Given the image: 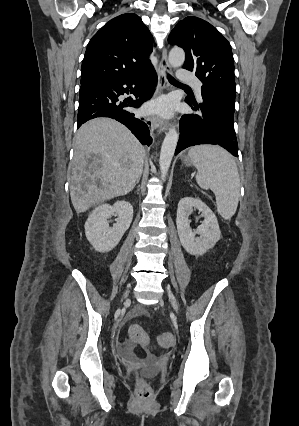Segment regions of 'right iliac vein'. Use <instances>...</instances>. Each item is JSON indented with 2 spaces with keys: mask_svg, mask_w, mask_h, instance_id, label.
Here are the masks:
<instances>
[{
  "mask_svg": "<svg viewBox=\"0 0 299 426\" xmlns=\"http://www.w3.org/2000/svg\"><path fill=\"white\" fill-rule=\"evenodd\" d=\"M128 294H129V290H127V291L124 293L123 298H124V299H126V298L128 297Z\"/></svg>",
  "mask_w": 299,
  "mask_h": 426,
  "instance_id": "right-iliac-vein-1",
  "label": "right iliac vein"
}]
</instances>
